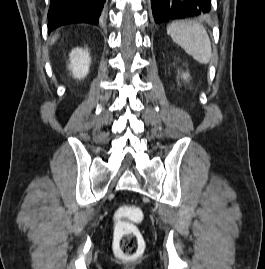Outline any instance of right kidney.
Instances as JSON below:
<instances>
[{
	"instance_id": "obj_1",
	"label": "right kidney",
	"mask_w": 265,
	"mask_h": 269,
	"mask_svg": "<svg viewBox=\"0 0 265 269\" xmlns=\"http://www.w3.org/2000/svg\"><path fill=\"white\" fill-rule=\"evenodd\" d=\"M69 70L72 72L73 77L76 79H83L89 73V66L91 63L88 50L75 48L71 51Z\"/></svg>"
}]
</instances>
